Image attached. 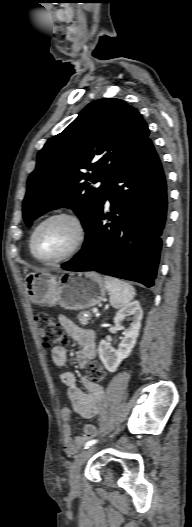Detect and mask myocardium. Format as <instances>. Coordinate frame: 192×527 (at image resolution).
<instances>
[{
  "label": "myocardium",
  "instance_id": "f54148a6",
  "mask_svg": "<svg viewBox=\"0 0 192 527\" xmlns=\"http://www.w3.org/2000/svg\"><path fill=\"white\" fill-rule=\"evenodd\" d=\"M56 218H66V219H68V220L73 222V224L76 227V231H77L75 242L72 245V247L66 253H64L61 256H58V257H55V258H51V259L42 258V257H40L38 255V253L36 251L37 234H38L39 230L42 228L43 225H45L50 220H53V219H56ZM86 237H87L86 225H85L83 219L77 213H75L73 211H68V210L56 211V212H53V213L49 214L45 218H43L35 226L32 234H31V238H30V251H31L33 257L36 260H38L39 262L44 263V264H55V263H59V262L68 260V259L72 258L73 256H75L81 250V248L83 247V245H84V243L86 241Z\"/></svg>",
  "mask_w": 192,
  "mask_h": 527
}]
</instances>
